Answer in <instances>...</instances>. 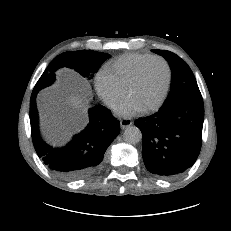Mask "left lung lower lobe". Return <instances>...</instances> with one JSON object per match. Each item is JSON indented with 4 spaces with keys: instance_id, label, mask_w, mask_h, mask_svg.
<instances>
[{
    "instance_id": "obj_1",
    "label": "left lung lower lobe",
    "mask_w": 231,
    "mask_h": 231,
    "mask_svg": "<svg viewBox=\"0 0 231 231\" xmlns=\"http://www.w3.org/2000/svg\"><path fill=\"white\" fill-rule=\"evenodd\" d=\"M203 121L202 96L185 97L151 116L137 119L146 168L163 178H173L190 168L201 149Z\"/></svg>"
}]
</instances>
